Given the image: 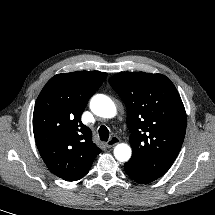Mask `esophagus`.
I'll return each mask as SVG.
<instances>
[{"instance_id": "obj_1", "label": "esophagus", "mask_w": 215, "mask_h": 215, "mask_svg": "<svg viewBox=\"0 0 215 215\" xmlns=\"http://www.w3.org/2000/svg\"><path fill=\"white\" fill-rule=\"evenodd\" d=\"M120 142V139L116 136H113L110 140H108V142L106 143V146L108 148H111L113 146H115L116 144H118Z\"/></svg>"}]
</instances>
